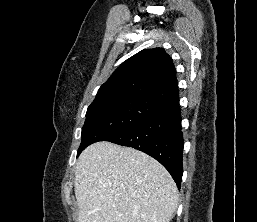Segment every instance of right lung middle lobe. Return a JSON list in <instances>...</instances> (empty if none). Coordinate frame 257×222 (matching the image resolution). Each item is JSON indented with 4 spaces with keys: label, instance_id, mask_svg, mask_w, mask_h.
<instances>
[{
    "label": "right lung middle lobe",
    "instance_id": "right-lung-middle-lobe-1",
    "mask_svg": "<svg viewBox=\"0 0 257 222\" xmlns=\"http://www.w3.org/2000/svg\"><path fill=\"white\" fill-rule=\"evenodd\" d=\"M161 108L158 103L143 99L94 100L88 107L82 128V142L77 156L88 145L108 140Z\"/></svg>",
    "mask_w": 257,
    "mask_h": 222
}]
</instances>
